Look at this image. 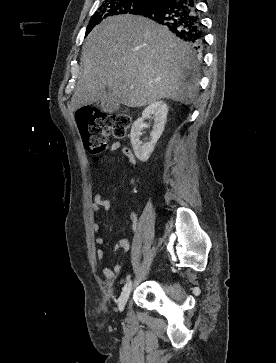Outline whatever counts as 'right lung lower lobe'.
I'll use <instances>...</instances> for the list:
<instances>
[{
  "instance_id": "right-lung-lower-lobe-1",
  "label": "right lung lower lobe",
  "mask_w": 276,
  "mask_h": 363,
  "mask_svg": "<svg viewBox=\"0 0 276 363\" xmlns=\"http://www.w3.org/2000/svg\"><path fill=\"white\" fill-rule=\"evenodd\" d=\"M140 15L163 25L196 50H202V24L195 0H159Z\"/></svg>"
}]
</instances>
